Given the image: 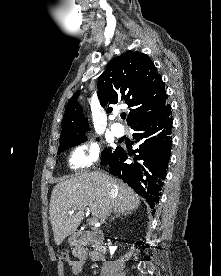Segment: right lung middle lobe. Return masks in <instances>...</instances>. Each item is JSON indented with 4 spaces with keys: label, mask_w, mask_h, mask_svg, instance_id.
Instances as JSON below:
<instances>
[{
    "label": "right lung middle lobe",
    "mask_w": 221,
    "mask_h": 276,
    "mask_svg": "<svg viewBox=\"0 0 221 276\" xmlns=\"http://www.w3.org/2000/svg\"><path fill=\"white\" fill-rule=\"evenodd\" d=\"M87 140L86 136H82V137H78V138H74V139H69L66 141H61L60 146H59V150L58 153L62 152L64 149H68L71 146H75V145H79L83 142H85ZM119 147L113 150L110 149H105L103 150L102 154H101V164H105L107 161H109L112 156H114V154L118 151Z\"/></svg>",
    "instance_id": "dd1d6c3e"
}]
</instances>
